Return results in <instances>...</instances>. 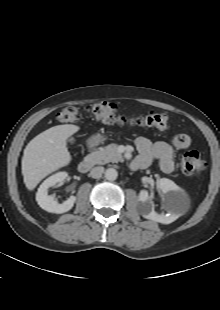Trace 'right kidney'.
<instances>
[{
  "instance_id": "obj_1",
  "label": "right kidney",
  "mask_w": 220,
  "mask_h": 310,
  "mask_svg": "<svg viewBox=\"0 0 220 310\" xmlns=\"http://www.w3.org/2000/svg\"><path fill=\"white\" fill-rule=\"evenodd\" d=\"M68 177L67 172H58L48 177L38 188L36 193V201L38 205L47 212L61 214L69 211L75 201V196H70L62 204H59L53 196L48 195V189L57 183L62 184L64 180Z\"/></svg>"
}]
</instances>
